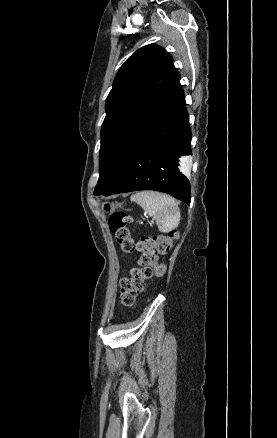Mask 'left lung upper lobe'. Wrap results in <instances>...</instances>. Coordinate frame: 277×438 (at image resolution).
I'll use <instances>...</instances> for the list:
<instances>
[{"label": "left lung upper lobe", "instance_id": "obj_1", "mask_svg": "<svg viewBox=\"0 0 277 438\" xmlns=\"http://www.w3.org/2000/svg\"><path fill=\"white\" fill-rule=\"evenodd\" d=\"M180 74L163 48L150 44L135 51L118 71L106 100L101 128L100 175L94 194L115 182L126 161L138 113L149 96L187 113Z\"/></svg>", "mask_w": 277, "mask_h": 438}]
</instances>
